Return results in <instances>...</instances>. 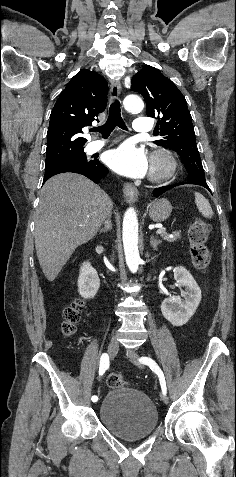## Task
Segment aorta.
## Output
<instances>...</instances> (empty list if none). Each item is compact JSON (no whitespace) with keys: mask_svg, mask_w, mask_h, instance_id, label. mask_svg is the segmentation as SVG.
Returning <instances> with one entry per match:
<instances>
[{"mask_svg":"<svg viewBox=\"0 0 236 477\" xmlns=\"http://www.w3.org/2000/svg\"><path fill=\"white\" fill-rule=\"evenodd\" d=\"M124 108L136 114L143 110L144 103L137 95H128L123 101ZM123 245L126 263L132 273H136L140 263L138 250V219L134 208H128L123 217Z\"/></svg>","mask_w":236,"mask_h":477,"instance_id":"obj_1","label":"aorta"}]
</instances>
